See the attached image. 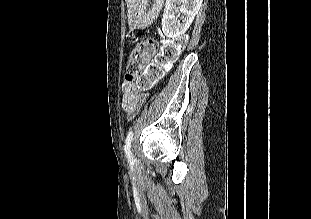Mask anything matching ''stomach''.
I'll return each instance as SVG.
<instances>
[{"label": "stomach", "instance_id": "0dacf381", "mask_svg": "<svg viewBox=\"0 0 311 219\" xmlns=\"http://www.w3.org/2000/svg\"><path fill=\"white\" fill-rule=\"evenodd\" d=\"M163 0H139L137 10L131 19V24L138 28L152 25L158 16Z\"/></svg>", "mask_w": 311, "mask_h": 219}]
</instances>
